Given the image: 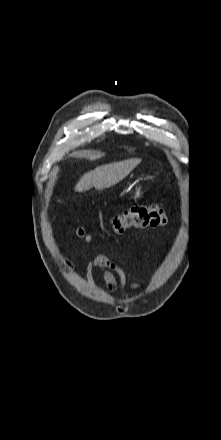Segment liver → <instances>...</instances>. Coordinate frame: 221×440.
Instances as JSON below:
<instances>
[{
  "instance_id": "1",
  "label": "liver",
  "mask_w": 221,
  "mask_h": 440,
  "mask_svg": "<svg viewBox=\"0 0 221 440\" xmlns=\"http://www.w3.org/2000/svg\"><path fill=\"white\" fill-rule=\"evenodd\" d=\"M140 162L141 159L133 158L99 166L81 177L75 191L85 192L92 187L96 190L109 188L123 180Z\"/></svg>"
}]
</instances>
